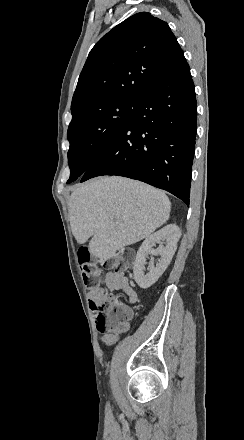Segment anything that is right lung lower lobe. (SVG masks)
<instances>
[{
  "mask_svg": "<svg viewBox=\"0 0 244 440\" xmlns=\"http://www.w3.org/2000/svg\"><path fill=\"white\" fill-rule=\"evenodd\" d=\"M197 106L187 62L160 76L80 182L118 175L164 189L189 205Z\"/></svg>",
  "mask_w": 244,
  "mask_h": 440,
  "instance_id": "obj_1",
  "label": "right lung lower lobe"
}]
</instances>
